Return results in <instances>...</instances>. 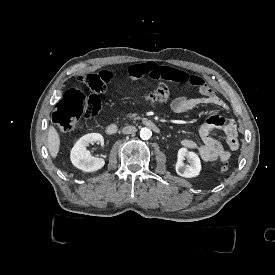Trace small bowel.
Here are the masks:
<instances>
[{"label":"small bowel","instance_id":"1","mask_svg":"<svg viewBox=\"0 0 275 275\" xmlns=\"http://www.w3.org/2000/svg\"><path fill=\"white\" fill-rule=\"evenodd\" d=\"M130 73L134 78L149 77L181 83L188 82L185 78V72L173 67L158 66L151 62L134 65ZM99 76L105 84L109 85L116 82V75L110 69H103ZM195 83H198V80H195ZM194 86L198 87L200 95L175 98L170 104L173 113L183 114L203 105L217 106L230 111L228 104L215 94L210 83L204 82L202 84V82H199V85ZM215 130L222 132L224 145L212 137V132ZM199 135L201 142L185 138L181 141V144L187 149L195 150L205 162L228 161L232 153L239 147L237 124L233 119L226 121L223 126L217 125L214 121L205 122L199 128Z\"/></svg>","mask_w":275,"mask_h":275}]
</instances>
